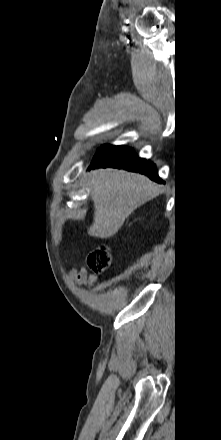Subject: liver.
<instances>
[{
    "label": "liver",
    "mask_w": 221,
    "mask_h": 440,
    "mask_svg": "<svg viewBox=\"0 0 221 440\" xmlns=\"http://www.w3.org/2000/svg\"><path fill=\"white\" fill-rule=\"evenodd\" d=\"M94 202V222L88 234L108 238L116 234L126 218L160 192V186L147 177L111 168L90 173Z\"/></svg>",
    "instance_id": "obj_1"
}]
</instances>
